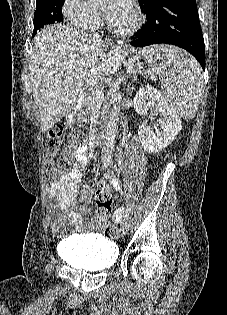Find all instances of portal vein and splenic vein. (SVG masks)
I'll list each match as a JSON object with an SVG mask.
<instances>
[{"label": "portal vein and splenic vein", "mask_w": 227, "mask_h": 315, "mask_svg": "<svg viewBox=\"0 0 227 315\" xmlns=\"http://www.w3.org/2000/svg\"><path fill=\"white\" fill-rule=\"evenodd\" d=\"M89 81H90V84H95L96 79L90 78ZM93 94H94V96H95L96 98H99V99H102L103 96H104L102 90H100V89H96Z\"/></svg>", "instance_id": "portal-vein-and-splenic-vein-1"}]
</instances>
